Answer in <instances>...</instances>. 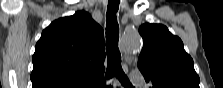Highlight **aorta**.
<instances>
[{"mask_svg":"<svg viewBox=\"0 0 223 88\" xmlns=\"http://www.w3.org/2000/svg\"><path fill=\"white\" fill-rule=\"evenodd\" d=\"M142 38L138 33H126L121 39V46L124 52L138 51L142 48Z\"/></svg>","mask_w":223,"mask_h":88,"instance_id":"aorta-1","label":"aorta"}]
</instances>
